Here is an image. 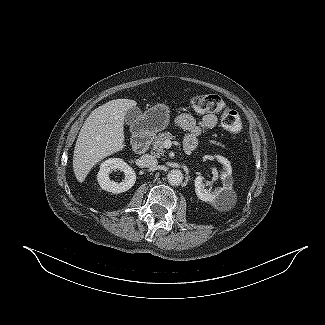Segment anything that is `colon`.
<instances>
[{
	"instance_id": "colon-1",
	"label": "colon",
	"mask_w": 325,
	"mask_h": 325,
	"mask_svg": "<svg viewBox=\"0 0 325 325\" xmlns=\"http://www.w3.org/2000/svg\"><path fill=\"white\" fill-rule=\"evenodd\" d=\"M190 106L196 113H221L223 127L232 134H239L242 130V122L238 112L228 107L219 95L193 96L190 99Z\"/></svg>"
}]
</instances>
